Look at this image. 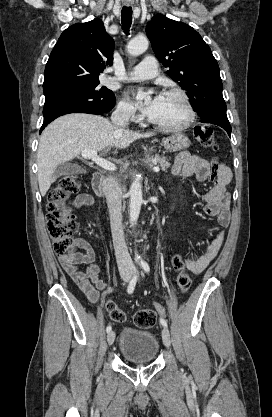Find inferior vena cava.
<instances>
[{"mask_svg": "<svg viewBox=\"0 0 272 417\" xmlns=\"http://www.w3.org/2000/svg\"><path fill=\"white\" fill-rule=\"evenodd\" d=\"M129 118L130 111L124 107L117 108L111 116L114 125L119 127H126ZM102 189L109 209L111 232L119 273L121 276H130L135 267L124 238L121 212L122 193L117 180L113 176H108L103 180Z\"/></svg>", "mask_w": 272, "mask_h": 417, "instance_id": "602c4592", "label": "inferior vena cava"}]
</instances>
